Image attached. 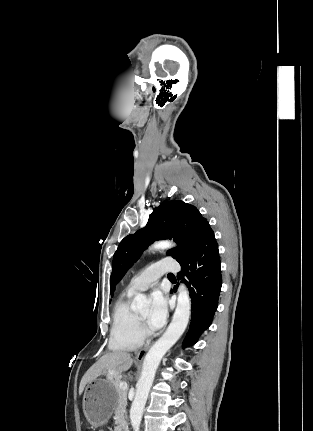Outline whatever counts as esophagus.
I'll use <instances>...</instances> for the list:
<instances>
[{"instance_id": "34e87169", "label": "esophagus", "mask_w": 313, "mask_h": 431, "mask_svg": "<svg viewBox=\"0 0 313 431\" xmlns=\"http://www.w3.org/2000/svg\"><path fill=\"white\" fill-rule=\"evenodd\" d=\"M149 349V345L145 346L143 349H141L137 354H136V359L137 360H142L147 352V350Z\"/></svg>"}]
</instances>
